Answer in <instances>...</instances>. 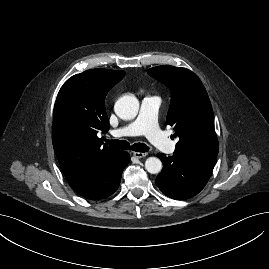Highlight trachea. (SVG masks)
Listing matches in <instances>:
<instances>
[{
    "label": "trachea",
    "mask_w": 269,
    "mask_h": 269,
    "mask_svg": "<svg viewBox=\"0 0 269 269\" xmlns=\"http://www.w3.org/2000/svg\"><path fill=\"white\" fill-rule=\"evenodd\" d=\"M105 142L118 149L122 150H129L132 149L136 152H147L149 150V147L143 143H135L133 145H130L126 140H108L105 139Z\"/></svg>",
    "instance_id": "trachea-1"
}]
</instances>
